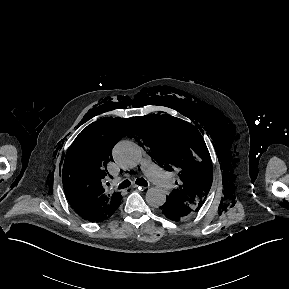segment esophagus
I'll list each match as a JSON object with an SVG mask.
<instances>
[{
	"mask_svg": "<svg viewBox=\"0 0 289 289\" xmlns=\"http://www.w3.org/2000/svg\"><path fill=\"white\" fill-rule=\"evenodd\" d=\"M132 188H138L139 190H146L148 188V186H137V185H133Z\"/></svg>",
	"mask_w": 289,
	"mask_h": 289,
	"instance_id": "34e87169",
	"label": "esophagus"
}]
</instances>
